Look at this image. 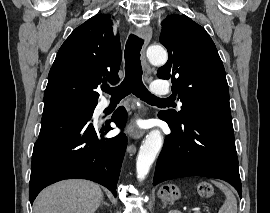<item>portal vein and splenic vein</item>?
I'll return each instance as SVG.
<instances>
[{"label": "portal vein and splenic vein", "mask_w": 270, "mask_h": 213, "mask_svg": "<svg viewBox=\"0 0 270 213\" xmlns=\"http://www.w3.org/2000/svg\"><path fill=\"white\" fill-rule=\"evenodd\" d=\"M192 210L194 211V213H201L200 211H198L197 208H193Z\"/></svg>", "instance_id": "portal-vein-and-splenic-vein-1"}]
</instances>
